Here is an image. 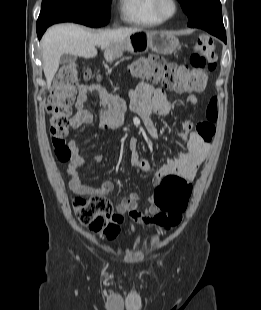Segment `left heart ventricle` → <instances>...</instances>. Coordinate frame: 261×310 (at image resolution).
Instances as JSON below:
<instances>
[{
    "label": "left heart ventricle",
    "mask_w": 261,
    "mask_h": 310,
    "mask_svg": "<svg viewBox=\"0 0 261 310\" xmlns=\"http://www.w3.org/2000/svg\"><path fill=\"white\" fill-rule=\"evenodd\" d=\"M161 9H162V12L164 14H170L173 10V6L172 4L169 2V0H163L162 3H161Z\"/></svg>",
    "instance_id": "b2bd125f"
}]
</instances>
